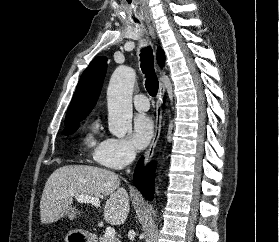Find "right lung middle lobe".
I'll return each instance as SVG.
<instances>
[{
	"mask_svg": "<svg viewBox=\"0 0 279 242\" xmlns=\"http://www.w3.org/2000/svg\"><path fill=\"white\" fill-rule=\"evenodd\" d=\"M78 127V122L77 123H72V124H65V129L63 130V134L68 135L73 133Z\"/></svg>",
	"mask_w": 279,
	"mask_h": 242,
	"instance_id": "right-lung-middle-lobe-1",
	"label": "right lung middle lobe"
}]
</instances>
